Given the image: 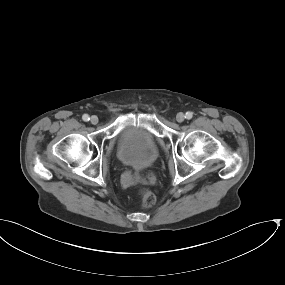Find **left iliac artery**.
I'll list each match as a JSON object with an SVG mask.
<instances>
[{"instance_id": "44dca946", "label": "left iliac artery", "mask_w": 285, "mask_h": 285, "mask_svg": "<svg viewBox=\"0 0 285 285\" xmlns=\"http://www.w3.org/2000/svg\"><path fill=\"white\" fill-rule=\"evenodd\" d=\"M192 117H193L192 112H187L186 115H185V118L188 119V120H190Z\"/></svg>"}]
</instances>
